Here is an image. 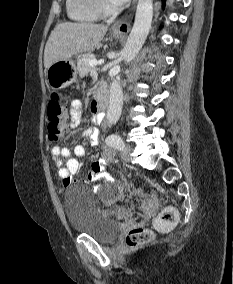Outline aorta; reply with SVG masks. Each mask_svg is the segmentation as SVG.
Returning <instances> with one entry per match:
<instances>
[{"instance_id":"obj_1","label":"aorta","mask_w":233,"mask_h":284,"mask_svg":"<svg viewBox=\"0 0 233 284\" xmlns=\"http://www.w3.org/2000/svg\"><path fill=\"white\" fill-rule=\"evenodd\" d=\"M153 17V0H138L135 22L123 49L125 63H130L144 44L151 28ZM123 91L120 78L112 81L110 86L109 107L106 118L110 124H115L122 112Z\"/></svg>"}]
</instances>
